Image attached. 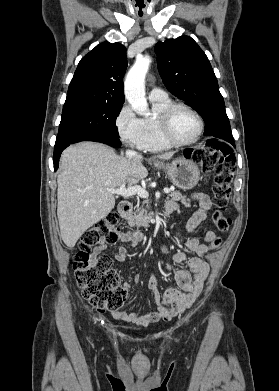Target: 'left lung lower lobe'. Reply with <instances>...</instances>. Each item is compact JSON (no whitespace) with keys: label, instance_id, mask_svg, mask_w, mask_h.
I'll return each mask as SVG.
<instances>
[{"label":"left lung lower lobe","instance_id":"0a47b994","mask_svg":"<svg viewBox=\"0 0 279 391\" xmlns=\"http://www.w3.org/2000/svg\"><path fill=\"white\" fill-rule=\"evenodd\" d=\"M224 140L228 141V142H229V143H231L233 146H235V144H234V140H233V138H232V137H230V136H226ZM184 155H185L186 157H189V153H188V152H186V151H184Z\"/></svg>","mask_w":279,"mask_h":391}]
</instances>
